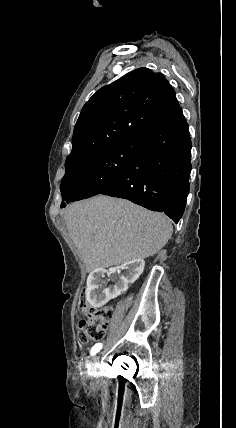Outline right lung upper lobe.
<instances>
[{
	"label": "right lung upper lobe",
	"mask_w": 236,
	"mask_h": 428,
	"mask_svg": "<svg viewBox=\"0 0 236 428\" xmlns=\"http://www.w3.org/2000/svg\"><path fill=\"white\" fill-rule=\"evenodd\" d=\"M178 109L175 91L163 74L138 68L124 75L99 89L82 108L65 167L137 139Z\"/></svg>",
	"instance_id": "right-lung-upper-lobe-1"
}]
</instances>
